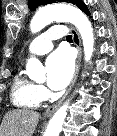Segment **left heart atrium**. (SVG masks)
Wrapping results in <instances>:
<instances>
[{
	"label": "left heart atrium",
	"mask_w": 117,
	"mask_h": 136,
	"mask_svg": "<svg viewBox=\"0 0 117 136\" xmlns=\"http://www.w3.org/2000/svg\"><path fill=\"white\" fill-rule=\"evenodd\" d=\"M47 83L53 90H61L70 82L74 72V57L67 48H59L47 58Z\"/></svg>",
	"instance_id": "left-heart-atrium-1"
}]
</instances>
